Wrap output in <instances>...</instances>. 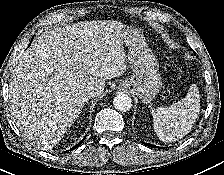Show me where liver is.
<instances>
[{"label":"liver","mask_w":224,"mask_h":175,"mask_svg":"<svg viewBox=\"0 0 224 175\" xmlns=\"http://www.w3.org/2000/svg\"><path fill=\"white\" fill-rule=\"evenodd\" d=\"M118 21L92 20L56 27L41 34L19 58L10 80L13 120L32 144L51 149L79 117L87 89L127 70Z\"/></svg>","instance_id":"liver-1"}]
</instances>
